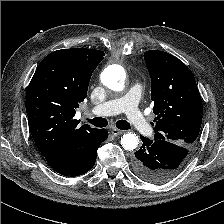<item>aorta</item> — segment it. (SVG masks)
Here are the masks:
<instances>
[{
	"label": "aorta",
	"instance_id": "obj_1",
	"mask_svg": "<svg viewBox=\"0 0 224 224\" xmlns=\"http://www.w3.org/2000/svg\"><path fill=\"white\" fill-rule=\"evenodd\" d=\"M101 81L113 91H123L126 83L123 67L116 64L108 66L101 74ZM138 144L139 138L136 134L126 133L121 137V145L125 150L132 151L137 148Z\"/></svg>",
	"mask_w": 224,
	"mask_h": 224
}]
</instances>
